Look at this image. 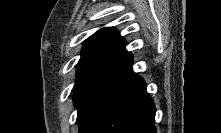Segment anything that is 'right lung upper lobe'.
<instances>
[{
  "label": "right lung upper lobe",
  "instance_id": "right-lung-upper-lobe-1",
  "mask_svg": "<svg viewBox=\"0 0 221 133\" xmlns=\"http://www.w3.org/2000/svg\"><path fill=\"white\" fill-rule=\"evenodd\" d=\"M125 40L112 28H102L90 36L82 49L77 74H103L130 59Z\"/></svg>",
  "mask_w": 221,
  "mask_h": 133
}]
</instances>
